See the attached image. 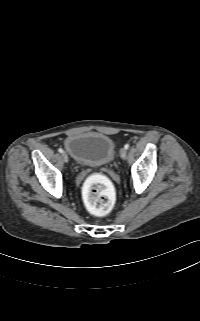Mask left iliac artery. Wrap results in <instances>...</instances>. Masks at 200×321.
Masks as SVG:
<instances>
[{
    "mask_svg": "<svg viewBox=\"0 0 200 321\" xmlns=\"http://www.w3.org/2000/svg\"><path fill=\"white\" fill-rule=\"evenodd\" d=\"M129 147H130L129 144H126V145L124 146V148H125L126 150H127Z\"/></svg>",
    "mask_w": 200,
    "mask_h": 321,
    "instance_id": "1",
    "label": "left iliac artery"
}]
</instances>
